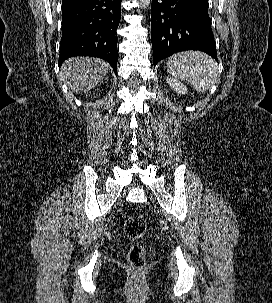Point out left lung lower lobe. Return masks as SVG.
I'll return each instance as SVG.
<instances>
[{
    "instance_id": "1",
    "label": "left lung lower lobe",
    "mask_w": 272,
    "mask_h": 303,
    "mask_svg": "<svg viewBox=\"0 0 272 303\" xmlns=\"http://www.w3.org/2000/svg\"><path fill=\"white\" fill-rule=\"evenodd\" d=\"M208 7V0H152L154 65L184 50H200L218 60Z\"/></svg>"
}]
</instances>
